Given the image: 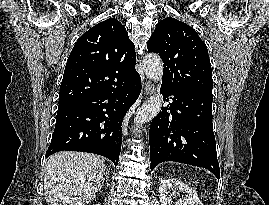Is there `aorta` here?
Wrapping results in <instances>:
<instances>
[{
	"label": "aorta",
	"instance_id": "1",
	"mask_svg": "<svg viewBox=\"0 0 269 205\" xmlns=\"http://www.w3.org/2000/svg\"><path fill=\"white\" fill-rule=\"evenodd\" d=\"M143 70L147 77L153 81L161 82L163 76V64L158 55L150 53L143 58ZM163 104V97L161 94H156L150 97L142 106L138 109L134 122L143 124L151 121L158 115Z\"/></svg>",
	"mask_w": 269,
	"mask_h": 205
}]
</instances>
